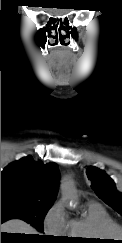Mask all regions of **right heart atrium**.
Wrapping results in <instances>:
<instances>
[{
    "instance_id": "1",
    "label": "right heart atrium",
    "mask_w": 122,
    "mask_h": 243,
    "mask_svg": "<svg viewBox=\"0 0 122 243\" xmlns=\"http://www.w3.org/2000/svg\"><path fill=\"white\" fill-rule=\"evenodd\" d=\"M44 229L52 235H64L68 227V217L62 202L55 203L44 218Z\"/></svg>"
}]
</instances>
